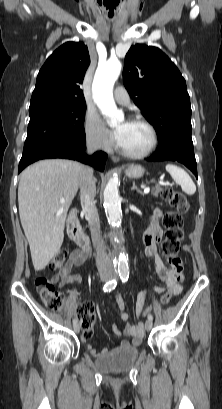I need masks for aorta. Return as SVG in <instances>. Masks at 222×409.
<instances>
[{"label": "aorta", "instance_id": "obj_1", "mask_svg": "<svg viewBox=\"0 0 222 409\" xmlns=\"http://www.w3.org/2000/svg\"><path fill=\"white\" fill-rule=\"evenodd\" d=\"M120 71L121 63L117 59L109 60L97 68L92 84L93 99L101 113L110 119L111 125H115L121 116L113 98V86ZM103 196L109 224L113 227H119L122 210L121 199L118 193V180L116 178H111L108 181ZM118 268L120 271L128 269L127 256L124 252L119 253Z\"/></svg>", "mask_w": 222, "mask_h": 409}]
</instances>
